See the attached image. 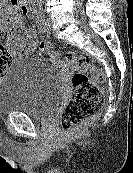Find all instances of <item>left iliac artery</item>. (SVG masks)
<instances>
[{
    "instance_id": "1",
    "label": "left iliac artery",
    "mask_w": 133,
    "mask_h": 173,
    "mask_svg": "<svg viewBox=\"0 0 133 173\" xmlns=\"http://www.w3.org/2000/svg\"><path fill=\"white\" fill-rule=\"evenodd\" d=\"M36 23L40 33H43L45 25V15L42 10L35 11Z\"/></svg>"
}]
</instances>
